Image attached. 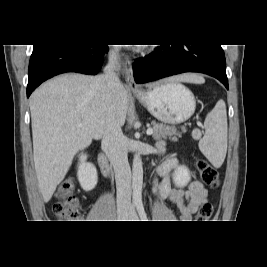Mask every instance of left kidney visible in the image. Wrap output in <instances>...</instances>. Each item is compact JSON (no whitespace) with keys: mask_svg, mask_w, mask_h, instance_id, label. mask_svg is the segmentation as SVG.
Instances as JSON below:
<instances>
[{"mask_svg":"<svg viewBox=\"0 0 267 267\" xmlns=\"http://www.w3.org/2000/svg\"><path fill=\"white\" fill-rule=\"evenodd\" d=\"M191 180L189 170L185 166H178L173 174V181L179 187H184Z\"/></svg>","mask_w":267,"mask_h":267,"instance_id":"1","label":"left kidney"}]
</instances>
